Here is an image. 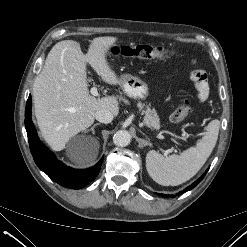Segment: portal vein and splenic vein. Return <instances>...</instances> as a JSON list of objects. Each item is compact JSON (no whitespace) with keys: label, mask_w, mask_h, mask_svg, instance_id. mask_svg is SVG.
I'll use <instances>...</instances> for the list:
<instances>
[{"label":"portal vein and splenic vein","mask_w":247,"mask_h":247,"mask_svg":"<svg viewBox=\"0 0 247 247\" xmlns=\"http://www.w3.org/2000/svg\"><path fill=\"white\" fill-rule=\"evenodd\" d=\"M91 94L93 96H98V90L96 87H92L91 90H90Z\"/></svg>","instance_id":"obj_1"}]
</instances>
